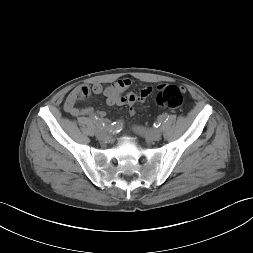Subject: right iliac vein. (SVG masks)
Here are the masks:
<instances>
[{
  "instance_id": "1",
  "label": "right iliac vein",
  "mask_w": 253,
  "mask_h": 253,
  "mask_svg": "<svg viewBox=\"0 0 253 253\" xmlns=\"http://www.w3.org/2000/svg\"><path fill=\"white\" fill-rule=\"evenodd\" d=\"M108 131L106 129L97 128L96 130V137L98 139H105L107 137Z\"/></svg>"
}]
</instances>
